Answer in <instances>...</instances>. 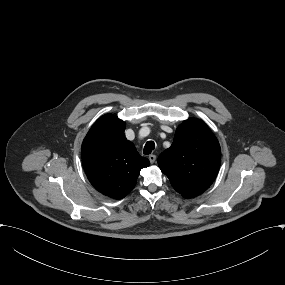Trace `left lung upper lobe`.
<instances>
[{
	"instance_id": "obj_1",
	"label": "left lung upper lobe",
	"mask_w": 285,
	"mask_h": 285,
	"mask_svg": "<svg viewBox=\"0 0 285 285\" xmlns=\"http://www.w3.org/2000/svg\"><path fill=\"white\" fill-rule=\"evenodd\" d=\"M220 162L216 137L203 121L194 118L177 128L173 144L158 157L161 171L185 198L208 189L217 176Z\"/></svg>"
}]
</instances>
